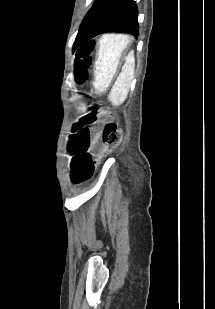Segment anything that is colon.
<instances>
[{
    "label": "colon",
    "instance_id": "colon-1",
    "mask_svg": "<svg viewBox=\"0 0 215 309\" xmlns=\"http://www.w3.org/2000/svg\"><path fill=\"white\" fill-rule=\"evenodd\" d=\"M102 140L107 146V150H113L120 145L122 141V131L115 122H109L104 126Z\"/></svg>",
    "mask_w": 215,
    "mask_h": 309
}]
</instances>
